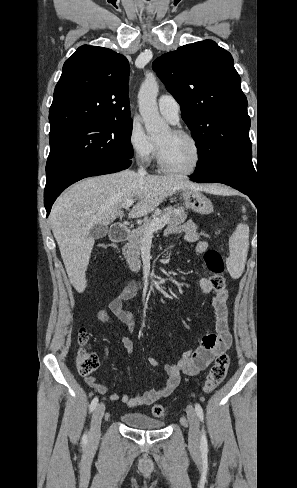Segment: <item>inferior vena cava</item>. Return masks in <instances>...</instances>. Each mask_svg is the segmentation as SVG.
<instances>
[{
    "label": "inferior vena cava",
    "instance_id": "602c4592",
    "mask_svg": "<svg viewBox=\"0 0 297 488\" xmlns=\"http://www.w3.org/2000/svg\"><path fill=\"white\" fill-rule=\"evenodd\" d=\"M138 174H139L140 176H145V175L147 174V172H146L145 168L141 166V167L138 169Z\"/></svg>",
    "mask_w": 297,
    "mask_h": 488
}]
</instances>
